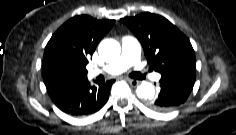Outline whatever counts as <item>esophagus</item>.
<instances>
[{
	"instance_id": "esophagus-1",
	"label": "esophagus",
	"mask_w": 236,
	"mask_h": 135,
	"mask_svg": "<svg viewBox=\"0 0 236 135\" xmlns=\"http://www.w3.org/2000/svg\"><path fill=\"white\" fill-rule=\"evenodd\" d=\"M127 81L134 87L138 86L140 84V81L138 80H135V79H130V78H127Z\"/></svg>"
}]
</instances>
